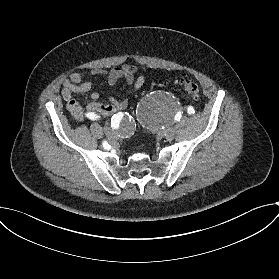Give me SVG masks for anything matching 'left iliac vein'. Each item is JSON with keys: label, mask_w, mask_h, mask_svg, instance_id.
<instances>
[{"label": "left iliac vein", "mask_w": 279, "mask_h": 279, "mask_svg": "<svg viewBox=\"0 0 279 279\" xmlns=\"http://www.w3.org/2000/svg\"><path fill=\"white\" fill-rule=\"evenodd\" d=\"M167 141L171 142L174 139V133L172 128H167L159 132Z\"/></svg>", "instance_id": "obj_1"}]
</instances>
